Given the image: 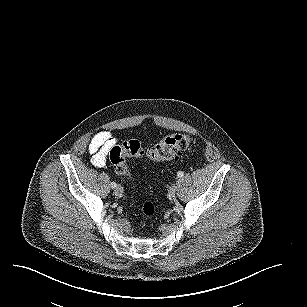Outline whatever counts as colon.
<instances>
[{"mask_svg": "<svg viewBox=\"0 0 307 307\" xmlns=\"http://www.w3.org/2000/svg\"><path fill=\"white\" fill-rule=\"evenodd\" d=\"M195 140L186 134L174 133L166 136L151 146H143L137 140H129L121 145L113 146L109 152V160L116 172L130 179L127 160L129 158H142L151 161H168L174 159L181 151L189 148ZM142 215L151 218L155 213V205L150 201L140 204Z\"/></svg>", "mask_w": 307, "mask_h": 307, "instance_id": "colon-1", "label": "colon"}]
</instances>
